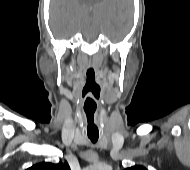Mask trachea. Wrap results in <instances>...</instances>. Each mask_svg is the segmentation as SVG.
<instances>
[{
  "mask_svg": "<svg viewBox=\"0 0 190 170\" xmlns=\"http://www.w3.org/2000/svg\"><path fill=\"white\" fill-rule=\"evenodd\" d=\"M88 138L91 140L92 143H96L98 141V136H89L88 135Z\"/></svg>",
  "mask_w": 190,
  "mask_h": 170,
  "instance_id": "trachea-1",
  "label": "trachea"
}]
</instances>
